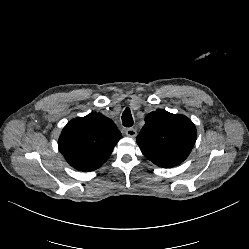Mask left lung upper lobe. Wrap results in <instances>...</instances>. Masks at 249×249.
Here are the masks:
<instances>
[{
  "instance_id": "1",
  "label": "left lung upper lobe",
  "mask_w": 249,
  "mask_h": 249,
  "mask_svg": "<svg viewBox=\"0 0 249 249\" xmlns=\"http://www.w3.org/2000/svg\"><path fill=\"white\" fill-rule=\"evenodd\" d=\"M196 141V127L181 114L156 110L145 117L136 142L154 164L169 168L182 163Z\"/></svg>"
}]
</instances>
